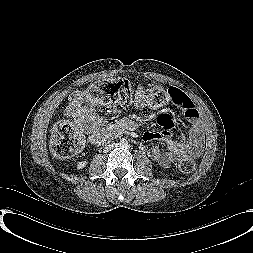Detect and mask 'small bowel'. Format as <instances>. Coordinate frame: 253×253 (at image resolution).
Listing matches in <instances>:
<instances>
[{
  "instance_id": "obj_1",
  "label": "small bowel",
  "mask_w": 253,
  "mask_h": 253,
  "mask_svg": "<svg viewBox=\"0 0 253 253\" xmlns=\"http://www.w3.org/2000/svg\"><path fill=\"white\" fill-rule=\"evenodd\" d=\"M171 89L175 92L174 103L180 107L191 123L189 139L186 140V135L183 133L174 135L175 124L169 111H164L157 116V121L163 127L162 131H146L142 136L145 143L159 141L166 143V150L157 145L147 149L148 155L163 168H168L173 162L187 156L199 157L204 146L197 107L185 93L174 88ZM66 111L68 115L74 118L76 126L88 135V140L92 145L105 142L125 126V123H119L113 128H105L103 118L95 113L94 107L84 104V92L82 91H76L70 95Z\"/></svg>"
}]
</instances>
